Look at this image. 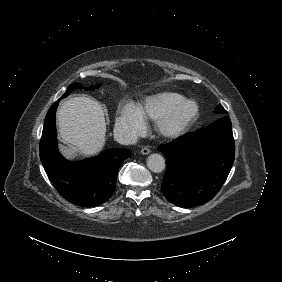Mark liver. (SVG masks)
Here are the masks:
<instances>
[{
    "label": "liver",
    "instance_id": "6515ba94",
    "mask_svg": "<svg viewBox=\"0 0 282 282\" xmlns=\"http://www.w3.org/2000/svg\"><path fill=\"white\" fill-rule=\"evenodd\" d=\"M59 136L85 155H94L104 146L106 122L102 107L86 97L71 98L57 113ZM69 158L72 152L60 146Z\"/></svg>",
    "mask_w": 282,
    "mask_h": 282
}]
</instances>
